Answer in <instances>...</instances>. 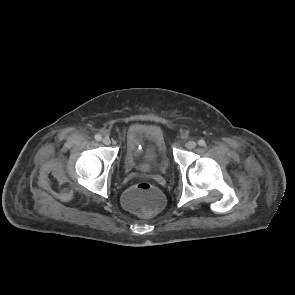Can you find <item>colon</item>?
Wrapping results in <instances>:
<instances>
[{"instance_id": "5ec220e1", "label": "colon", "mask_w": 295, "mask_h": 295, "mask_svg": "<svg viewBox=\"0 0 295 295\" xmlns=\"http://www.w3.org/2000/svg\"><path fill=\"white\" fill-rule=\"evenodd\" d=\"M123 200L128 208L143 215H151L161 208L163 196L154 186L139 183L126 191Z\"/></svg>"}]
</instances>
